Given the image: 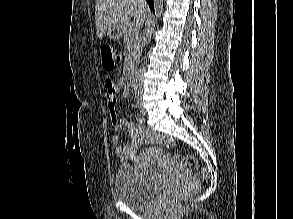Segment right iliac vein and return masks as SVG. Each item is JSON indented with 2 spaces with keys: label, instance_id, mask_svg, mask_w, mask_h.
<instances>
[{
  "label": "right iliac vein",
  "instance_id": "obj_1",
  "mask_svg": "<svg viewBox=\"0 0 293 219\" xmlns=\"http://www.w3.org/2000/svg\"><path fill=\"white\" fill-rule=\"evenodd\" d=\"M138 106H139V109L141 111L142 114H145V110H144V107H143V104L141 102L138 103Z\"/></svg>",
  "mask_w": 293,
  "mask_h": 219
}]
</instances>
